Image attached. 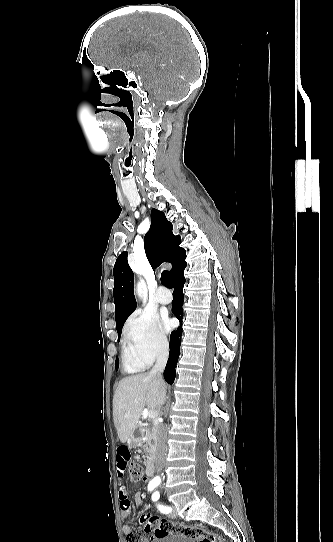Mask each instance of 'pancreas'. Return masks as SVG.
Returning <instances> with one entry per match:
<instances>
[{
    "label": "pancreas",
    "instance_id": "1",
    "mask_svg": "<svg viewBox=\"0 0 333 542\" xmlns=\"http://www.w3.org/2000/svg\"><path fill=\"white\" fill-rule=\"evenodd\" d=\"M143 436L145 438L143 442V450L145 452L146 458H148L149 462L150 460H155L156 456V446H157V434H156V426H146V428H143Z\"/></svg>",
    "mask_w": 333,
    "mask_h": 542
}]
</instances>
